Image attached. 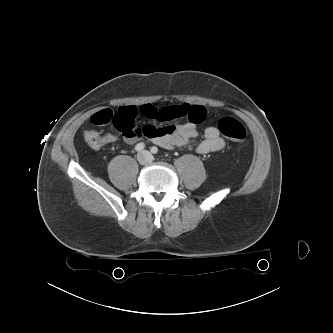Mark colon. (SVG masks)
I'll return each mask as SVG.
<instances>
[{"label": "colon", "instance_id": "colon-1", "mask_svg": "<svg viewBox=\"0 0 333 333\" xmlns=\"http://www.w3.org/2000/svg\"><path fill=\"white\" fill-rule=\"evenodd\" d=\"M137 110L134 107H125L118 112L110 109L101 110L93 115L95 125H113L119 131H127L133 128ZM218 130L231 141L242 143L247 138L245 127L232 117H223L218 121ZM84 139L92 149H100L106 144V137L94 129L86 130Z\"/></svg>", "mask_w": 333, "mask_h": 333}]
</instances>
